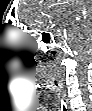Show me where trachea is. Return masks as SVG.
<instances>
[{"mask_svg": "<svg viewBox=\"0 0 92 111\" xmlns=\"http://www.w3.org/2000/svg\"><path fill=\"white\" fill-rule=\"evenodd\" d=\"M63 111H66L65 107H64Z\"/></svg>", "mask_w": 92, "mask_h": 111, "instance_id": "obj_1", "label": "trachea"}]
</instances>
